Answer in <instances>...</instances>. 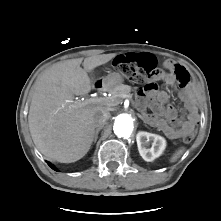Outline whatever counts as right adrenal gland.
Segmentation results:
<instances>
[{
    "mask_svg": "<svg viewBox=\"0 0 221 221\" xmlns=\"http://www.w3.org/2000/svg\"><path fill=\"white\" fill-rule=\"evenodd\" d=\"M101 129H102V127L96 128L95 135H94V140H93L94 143H96V141L98 139V134L101 131Z\"/></svg>",
    "mask_w": 221,
    "mask_h": 221,
    "instance_id": "obj_1",
    "label": "right adrenal gland"
}]
</instances>
